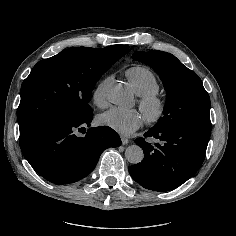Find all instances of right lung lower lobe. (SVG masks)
Here are the masks:
<instances>
[{
    "label": "right lung lower lobe",
    "instance_id": "1",
    "mask_svg": "<svg viewBox=\"0 0 236 236\" xmlns=\"http://www.w3.org/2000/svg\"><path fill=\"white\" fill-rule=\"evenodd\" d=\"M92 119L93 113L80 120L53 118L34 125L20 133L24 157L48 181H79L93 171L105 149L122 143L110 127H90Z\"/></svg>",
    "mask_w": 236,
    "mask_h": 236
}]
</instances>
